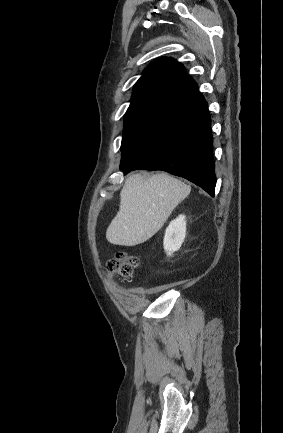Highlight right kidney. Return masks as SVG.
<instances>
[{
	"label": "right kidney",
	"instance_id": "right-kidney-1",
	"mask_svg": "<svg viewBox=\"0 0 283 433\" xmlns=\"http://www.w3.org/2000/svg\"><path fill=\"white\" fill-rule=\"evenodd\" d=\"M186 237V221L184 215H179L170 222L166 229L163 246L168 256L178 251Z\"/></svg>",
	"mask_w": 283,
	"mask_h": 433
}]
</instances>
